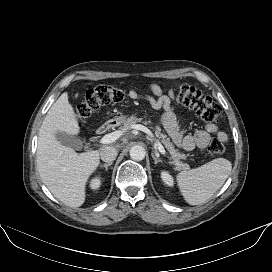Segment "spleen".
Masks as SVG:
<instances>
[{
  "instance_id": "1",
  "label": "spleen",
  "mask_w": 272,
  "mask_h": 272,
  "mask_svg": "<svg viewBox=\"0 0 272 272\" xmlns=\"http://www.w3.org/2000/svg\"><path fill=\"white\" fill-rule=\"evenodd\" d=\"M231 170L229 160L217 158L201 167L178 173V187L188 204L200 205L206 203L225 183Z\"/></svg>"
}]
</instances>
